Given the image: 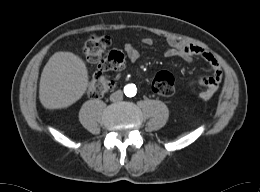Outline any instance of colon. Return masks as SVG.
I'll list each match as a JSON object with an SVG mask.
<instances>
[{"label":"colon","mask_w":260,"mask_h":192,"mask_svg":"<svg viewBox=\"0 0 260 192\" xmlns=\"http://www.w3.org/2000/svg\"><path fill=\"white\" fill-rule=\"evenodd\" d=\"M110 45L107 36H90L82 46L86 59L97 65L99 71L88 85L87 92L91 98H100L113 88L114 82L107 76L108 71H120L125 66V57L120 51L106 53ZM150 90L159 96H171L175 92V81L171 73L161 71L150 83Z\"/></svg>","instance_id":"5ec220e1"}]
</instances>
